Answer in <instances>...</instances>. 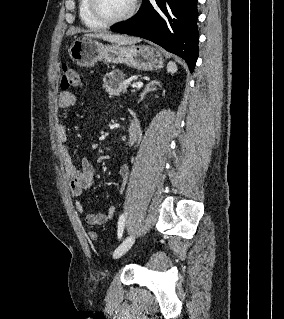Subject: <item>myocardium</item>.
Wrapping results in <instances>:
<instances>
[{"label": "myocardium", "instance_id": "obj_1", "mask_svg": "<svg viewBox=\"0 0 284 319\" xmlns=\"http://www.w3.org/2000/svg\"><path fill=\"white\" fill-rule=\"evenodd\" d=\"M138 1L139 0H132L128 10L122 15L115 18H108L102 13L99 0H89V9L91 14L97 21L105 26H109L124 22L131 18L137 9Z\"/></svg>", "mask_w": 284, "mask_h": 319}]
</instances>
